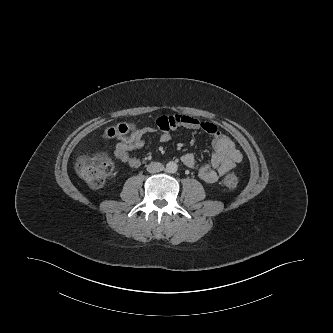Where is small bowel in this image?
Instances as JSON below:
<instances>
[{
  "label": "small bowel",
  "instance_id": "small-bowel-1",
  "mask_svg": "<svg viewBox=\"0 0 333 333\" xmlns=\"http://www.w3.org/2000/svg\"><path fill=\"white\" fill-rule=\"evenodd\" d=\"M157 129L160 131L159 141L166 143L171 140V131L179 126L191 130H201L211 135L213 154L208 164L200 167L198 175L205 183H216L221 176L232 171L242 160V153L235 143L213 123L201 121L195 117L186 115L161 116L156 121ZM153 127H145L133 131L124 136L116 143L114 155L121 162L130 167L137 168L141 165L138 157L132 156L131 152L141 149L145 145L148 134L157 131ZM182 163L193 168L195 165L194 155L186 153L181 157Z\"/></svg>",
  "mask_w": 333,
  "mask_h": 333
}]
</instances>
